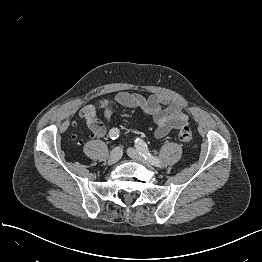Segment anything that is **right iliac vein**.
<instances>
[{
  "instance_id": "obj_1",
  "label": "right iliac vein",
  "mask_w": 262,
  "mask_h": 262,
  "mask_svg": "<svg viewBox=\"0 0 262 262\" xmlns=\"http://www.w3.org/2000/svg\"><path fill=\"white\" fill-rule=\"evenodd\" d=\"M121 157H122V149L120 147H115L110 153L108 164L112 165L117 163Z\"/></svg>"
}]
</instances>
